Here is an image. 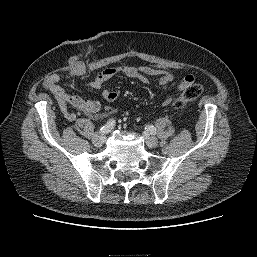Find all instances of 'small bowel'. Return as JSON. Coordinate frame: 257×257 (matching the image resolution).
<instances>
[{"mask_svg":"<svg viewBox=\"0 0 257 257\" xmlns=\"http://www.w3.org/2000/svg\"><path fill=\"white\" fill-rule=\"evenodd\" d=\"M83 71L80 69L73 70L70 74L71 77H78L82 75ZM123 74L128 78L139 80L143 83H149V76L159 75V85L161 87H166L168 84L174 81V75L172 72L167 70H157L149 66L136 67L131 65H124L118 67H111L103 70L92 80L90 86L94 89H100L108 80L111 78ZM60 77L57 74L51 75L47 78L46 84L48 89L56 98L59 107L68 120L75 119V113L68 108L71 105L75 109L83 112L90 118H95L98 112L101 110V104L95 100H86L79 95L74 94L67 87H62L58 85ZM194 77L192 75H187L182 82L177 84L176 89L182 91L184 87L189 83L193 82ZM119 96L117 90L106 89L102 92V97L107 102H114ZM172 99L167 98L164 100V105H169ZM111 113L109 108L105 109V116Z\"/></svg>","mask_w":257,"mask_h":257,"instance_id":"obj_1","label":"small bowel"}]
</instances>
